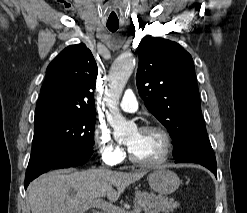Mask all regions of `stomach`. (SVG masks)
<instances>
[{
  "label": "stomach",
  "instance_id": "stomach-1",
  "mask_svg": "<svg viewBox=\"0 0 247 213\" xmlns=\"http://www.w3.org/2000/svg\"><path fill=\"white\" fill-rule=\"evenodd\" d=\"M151 189L160 195H169L180 186V179L176 173L166 168L155 169L148 176Z\"/></svg>",
  "mask_w": 247,
  "mask_h": 213
}]
</instances>
